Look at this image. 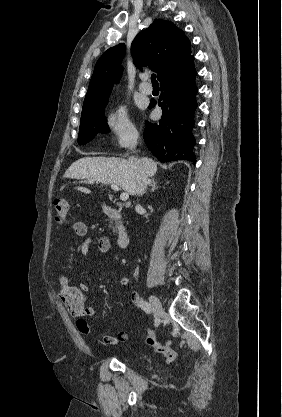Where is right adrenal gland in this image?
<instances>
[{"label": "right adrenal gland", "mask_w": 282, "mask_h": 417, "mask_svg": "<svg viewBox=\"0 0 282 417\" xmlns=\"http://www.w3.org/2000/svg\"><path fill=\"white\" fill-rule=\"evenodd\" d=\"M150 186H151V190L150 192H154L155 188H159L155 178H151L150 182H149Z\"/></svg>", "instance_id": "2a0ac1e0"}]
</instances>
